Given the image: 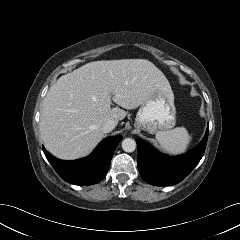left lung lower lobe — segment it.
Here are the masks:
<instances>
[{"label":"left lung lower lobe","instance_id":"0a47b994","mask_svg":"<svg viewBox=\"0 0 240 240\" xmlns=\"http://www.w3.org/2000/svg\"><path fill=\"white\" fill-rule=\"evenodd\" d=\"M209 132V125L200 144L179 157L162 155L148 143L136 139L138 146V169L144 181L155 186H168L181 182L201 160Z\"/></svg>","mask_w":240,"mask_h":240}]
</instances>
